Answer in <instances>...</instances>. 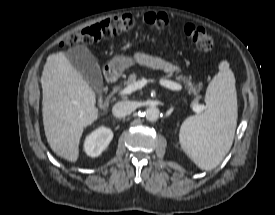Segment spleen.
I'll list each match as a JSON object with an SVG mask.
<instances>
[{"label": "spleen", "instance_id": "3e777b00", "mask_svg": "<svg viewBox=\"0 0 275 215\" xmlns=\"http://www.w3.org/2000/svg\"><path fill=\"white\" fill-rule=\"evenodd\" d=\"M206 111L182 124L179 141L191 160L203 170L215 168L229 152L237 125L235 77L227 61L208 85Z\"/></svg>", "mask_w": 275, "mask_h": 215}]
</instances>
